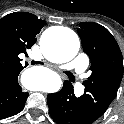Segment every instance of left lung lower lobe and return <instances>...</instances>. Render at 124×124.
<instances>
[{
    "label": "left lung lower lobe",
    "mask_w": 124,
    "mask_h": 124,
    "mask_svg": "<svg viewBox=\"0 0 124 124\" xmlns=\"http://www.w3.org/2000/svg\"><path fill=\"white\" fill-rule=\"evenodd\" d=\"M47 102L50 116L57 124H92L69 81L64 82L59 92L49 94Z\"/></svg>",
    "instance_id": "1"
}]
</instances>
